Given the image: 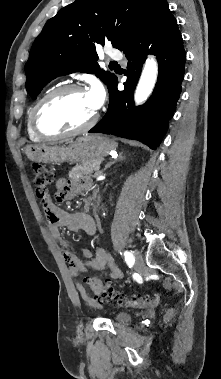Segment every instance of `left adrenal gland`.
Instances as JSON below:
<instances>
[{
    "label": "left adrenal gland",
    "instance_id": "1",
    "mask_svg": "<svg viewBox=\"0 0 221 379\" xmlns=\"http://www.w3.org/2000/svg\"><path fill=\"white\" fill-rule=\"evenodd\" d=\"M124 160V156L122 155V153L119 154V156L111 161V162H108L105 166V168L103 169V171H105L107 168H109L112 164L116 163L117 161H123Z\"/></svg>",
    "mask_w": 221,
    "mask_h": 379
}]
</instances>
